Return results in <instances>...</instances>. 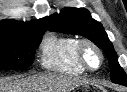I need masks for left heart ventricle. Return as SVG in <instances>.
Here are the masks:
<instances>
[{"label":"left heart ventricle","mask_w":127,"mask_h":92,"mask_svg":"<svg viewBox=\"0 0 127 92\" xmlns=\"http://www.w3.org/2000/svg\"><path fill=\"white\" fill-rule=\"evenodd\" d=\"M86 60L87 63L91 67H97L100 61V58L96 52H94L92 49H87L86 50Z\"/></svg>","instance_id":"obj_1"}]
</instances>
